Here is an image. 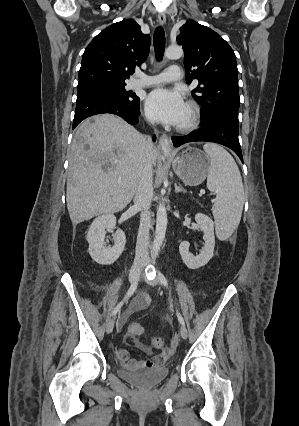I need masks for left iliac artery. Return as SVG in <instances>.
Returning <instances> with one entry per match:
<instances>
[{
    "label": "left iliac artery",
    "instance_id": "1",
    "mask_svg": "<svg viewBox=\"0 0 299 426\" xmlns=\"http://www.w3.org/2000/svg\"><path fill=\"white\" fill-rule=\"evenodd\" d=\"M146 276H147L148 279H152L153 278L152 271H150L149 269L148 270L146 269ZM158 277H159L160 282L165 287H168V281H167L166 277L160 271H158ZM176 314H177V317H178L180 324L185 325L184 319H183L182 315L179 313L178 310L176 311Z\"/></svg>",
    "mask_w": 299,
    "mask_h": 426
}]
</instances>
